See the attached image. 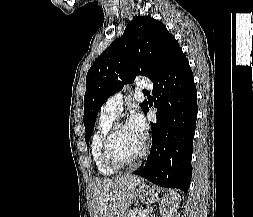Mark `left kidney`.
<instances>
[{"mask_svg":"<svg viewBox=\"0 0 253 217\" xmlns=\"http://www.w3.org/2000/svg\"><path fill=\"white\" fill-rule=\"evenodd\" d=\"M164 204H168V206L169 205L171 206V204H172V208L177 207L179 204V195L175 194V195L171 196L170 198H168V196L167 197L165 196L164 199L161 201V205H163V207H164ZM160 209H161L160 212L164 217L166 209L165 208H160ZM170 209H171V207H170ZM168 217H170V216H168Z\"/></svg>","mask_w":253,"mask_h":217,"instance_id":"obj_1","label":"left kidney"}]
</instances>
